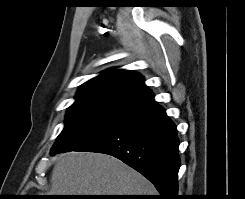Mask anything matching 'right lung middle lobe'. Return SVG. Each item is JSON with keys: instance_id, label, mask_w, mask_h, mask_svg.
Here are the masks:
<instances>
[{"instance_id": "right-lung-middle-lobe-1", "label": "right lung middle lobe", "mask_w": 245, "mask_h": 199, "mask_svg": "<svg viewBox=\"0 0 245 199\" xmlns=\"http://www.w3.org/2000/svg\"><path fill=\"white\" fill-rule=\"evenodd\" d=\"M126 117L125 114L95 107L69 108L64 128L50 153L75 150L105 134Z\"/></svg>"}]
</instances>
